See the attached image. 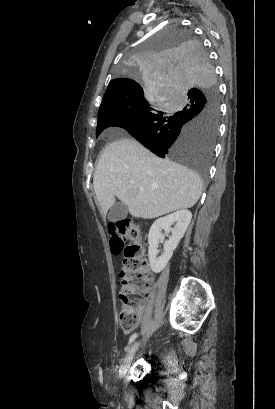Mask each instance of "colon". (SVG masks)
Wrapping results in <instances>:
<instances>
[{"mask_svg": "<svg viewBox=\"0 0 275 409\" xmlns=\"http://www.w3.org/2000/svg\"><path fill=\"white\" fill-rule=\"evenodd\" d=\"M112 252L126 251L121 271V314L117 325L122 330H135L143 308V294L150 293L153 278L147 269L146 246L140 225L133 220L117 221L109 227Z\"/></svg>", "mask_w": 275, "mask_h": 409, "instance_id": "1", "label": "colon"}]
</instances>
